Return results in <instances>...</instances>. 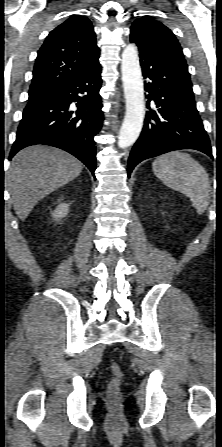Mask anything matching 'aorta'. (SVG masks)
<instances>
[{"label":"aorta","mask_w":222,"mask_h":447,"mask_svg":"<svg viewBox=\"0 0 222 447\" xmlns=\"http://www.w3.org/2000/svg\"><path fill=\"white\" fill-rule=\"evenodd\" d=\"M121 72L126 112L118 136V146L126 148L139 137L145 115L143 78L135 44H129L123 50Z\"/></svg>","instance_id":"aorta-1"}]
</instances>
